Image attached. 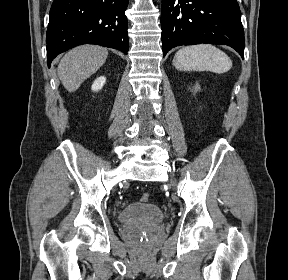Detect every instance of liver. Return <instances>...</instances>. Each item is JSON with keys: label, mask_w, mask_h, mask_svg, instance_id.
Masks as SVG:
<instances>
[{"label": "liver", "mask_w": 288, "mask_h": 280, "mask_svg": "<svg viewBox=\"0 0 288 280\" xmlns=\"http://www.w3.org/2000/svg\"><path fill=\"white\" fill-rule=\"evenodd\" d=\"M106 48L84 45L70 50L60 61L58 76L68 92L76 91L106 61Z\"/></svg>", "instance_id": "1"}]
</instances>
